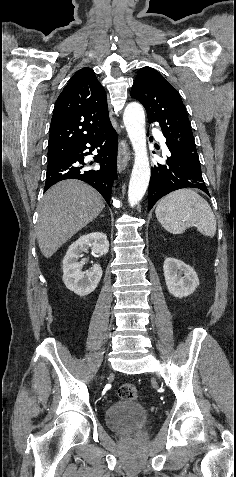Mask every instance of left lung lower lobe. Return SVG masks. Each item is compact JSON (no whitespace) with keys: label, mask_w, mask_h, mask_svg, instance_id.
<instances>
[{"label":"left lung lower lobe","mask_w":236,"mask_h":477,"mask_svg":"<svg viewBox=\"0 0 236 477\" xmlns=\"http://www.w3.org/2000/svg\"><path fill=\"white\" fill-rule=\"evenodd\" d=\"M169 149L166 164L152 168L148 189L149 210L166 194L182 188H198L209 195L199 160Z\"/></svg>","instance_id":"obj_1"}]
</instances>
